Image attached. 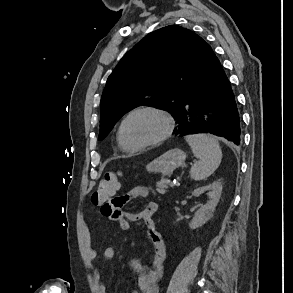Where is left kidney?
Returning <instances> with one entry per match:
<instances>
[{
    "mask_svg": "<svg viewBox=\"0 0 293 293\" xmlns=\"http://www.w3.org/2000/svg\"><path fill=\"white\" fill-rule=\"evenodd\" d=\"M209 191L211 194L210 200L201 206L194 214L193 219L189 223L191 229H197L209 221L214 213L217 203L220 199L222 192V184L220 181H215L209 185L196 188L192 195L199 197L204 192Z\"/></svg>",
    "mask_w": 293,
    "mask_h": 293,
    "instance_id": "5707ae66",
    "label": "left kidney"
}]
</instances>
